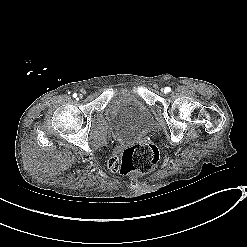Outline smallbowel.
Returning a JSON list of instances; mask_svg holds the SVG:
<instances>
[{"label":"small bowel","mask_w":247,"mask_h":247,"mask_svg":"<svg viewBox=\"0 0 247 247\" xmlns=\"http://www.w3.org/2000/svg\"><path fill=\"white\" fill-rule=\"evenodd\" d=\"M125 103L126 100L124 96L118 93L110 95L106 101V107L104 110L106 117L110 119L117 117L120 112V108L124 107ZM118 161L119 158L116 155H113L106 159V164L109 166V170L111 172H116L118 170V165L116 164L118 163Z\"/></svg>","instance_id":"c3829d8e"}]
</instances>
